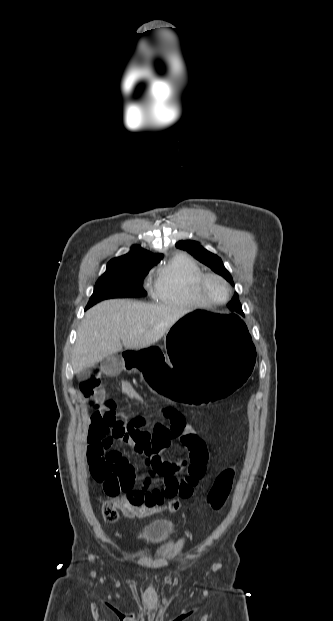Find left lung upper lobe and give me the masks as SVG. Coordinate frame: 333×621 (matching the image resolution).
<instances>
[{
    "label": "left lung upper lobe",
    "instance_id": "obj_1",
    "mask_svg": "<svg viewBox=\"0 0 333 621\" xmlns=\"http://www.w3.org/2000/svg\"><path fill=\"white\" fill-rule=\"evenodd\" d=\"M175 246L179 249L187 251L198 261L210 267L215 273L223 276L228 282L234 285L232 277L224 267L221 259L217 255L204 249L202 246L199 245L198 242L191 240H181L177 242ZM228 308L233 313H239L241 315H244L242 311V306L239 302L238 294L234 295V297L228 304Z\"/></svg>",
    "mask_w": 333,
    "mask_h": 621
}]
</instances>
